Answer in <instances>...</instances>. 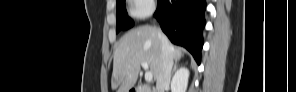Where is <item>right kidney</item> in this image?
<instances>
[{
	"label": "right kidney",
	"instance_id": "1",
	"mask_svg": "<svg viewBox=\"0 0 296 92\" xmlns=\"http://www.w3.org/2000/svg\"><path fill=\"white\" fill-rule=\"evenodd\" d=\"M189 70L186 67H181L172 78V92H186L188 86Z\"/></svg>",
	"mask_w": 296,
	"mask_h": 92
}]
</instances>
